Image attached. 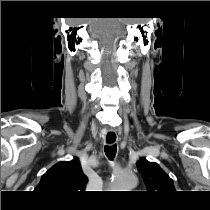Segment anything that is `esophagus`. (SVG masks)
<instances>
[{
    "mask_svg": "<svg viewBox=\"0 0 210 210\" xmlns=\"http://www.w3.org/2000/svg\"><path fill=\"white\" fill-rule=\"evenodd\" d=\"M117 141H118V136L116 133L112 131L107 132L103 138L104 144L108 146L116 144Z\"/></svg>",
    "mask_w": 210,
    "mask_h": 210,
    "instance_id": "1",
    "label": "esophagus"
}]
</instances>
